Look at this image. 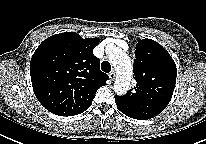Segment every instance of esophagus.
Returning <instances> with one entry per match:
<instances>
[{
  "instance_id": "obj_1",
  "label": "esophagus",
  "mask_w": 206,
  "mask_h": 144,
  "mask_svg": "<svg viewBox=\"0 0 206 144\" xmlns=\"http://www.w3.org/2000/svg\"><path fill=\"white\" fill-rule=\"evenodd\" d=\"M115 76H116V74H115L114 71L109 73V78H110L111 81H113L115 79Z\"/></svg>"
}]
</instances>
